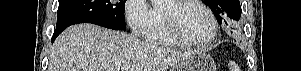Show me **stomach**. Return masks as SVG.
Instances as JSON below:
<instances>
[{"mask_svg":"<svg viewBox=\"0 0 301 71\" xmlns=\"http://www.w3.org/2000/svg\"><path fill=\"white\" fill-rule=\"evenodd\" d=\"M170 71H216V64L203 50H195L176 63Z\"/></svg>","mask_w":301,"mask_h":71,"instance_id":"obj_1","label":"stomach"}]
</instances>
